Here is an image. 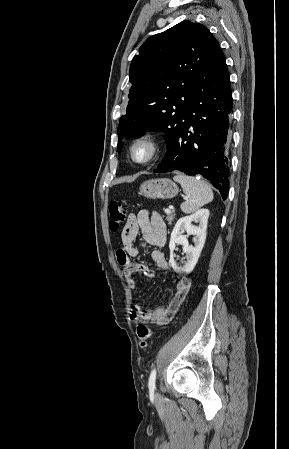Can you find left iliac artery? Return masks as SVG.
I'll return each mask as SVG.
<instances>
[{"mask_svg": "<svg viewBox=\"0 0 289 449\" xmlns=\"http://www.w3.org/2000/svg\"><path fill=\"white\" fill-rule=\"evenodd\" d=\"M155 381H156V369L154 368L151 371V374L149 376V381H148V387H149L150 391H152V392L155 389Z\"/></svg>", "mask_w": 289, "mask_h": 449, "instance_id": "left-iliac-artery-1", "label": "left iliac artery"}]
</instances>
